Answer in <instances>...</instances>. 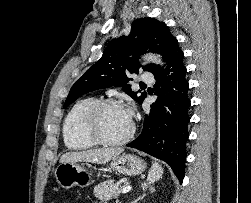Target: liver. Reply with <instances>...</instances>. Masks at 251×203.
<instances>
[{
    "instance_id": "6515ba94",
    "label": "liver",
    "mask_w": 251,
    "mask_h": 203,
    "mask_svg": "<svg viewBox=\"0 0 251 203\" xmlns=\"http://www.w3.org/2000/svg\"><path fill=\"white\" fill-rule=\"evenodd\" d=\"M122 152V148L90 149L79 152H66L61 156L60 163L83 161L105 164Z\"/></svg>"
}]
</instances>
